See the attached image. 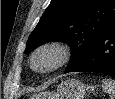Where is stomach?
<instances>
[{"mask_svg": "<svg viewBox=\"0 0 115 99\" xmlns=\"http://www.w3.org/2000/svg\"><path fill=\"white\" fill-rule=\"evenodd\" d=\"M95 87L86 85L76 79H68L58 85L54 92H42L33 95L31 99H84L86 93L94 91Z\"/></svg>", "mask_w": 115, "mask_h": 99, "instance_id": "1", "label": "stomach"}]
</instances>
